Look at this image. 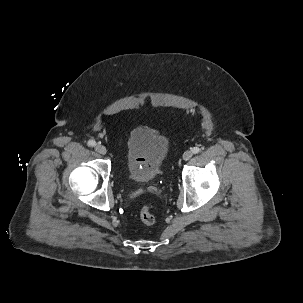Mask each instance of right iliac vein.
<instances>
[{
	"instance_id": "obj_1",
	"label": "right iliac vein",
	"mask_w": 303,
	"mask_h": 303,
	"mask_svg": "<svg viewBox=\"0 0 303 303\" xmlns=\"http://www.w3.org/2000/svg\"><path fill=\"white\" fill-rule=\"evenodd\" d=\"M95 150H96L98 153L103 154V155L106 154V152H107L106 147L103 146V145H101V144H97V145L95 146Z\"/></svg>"
}]
</instances>
